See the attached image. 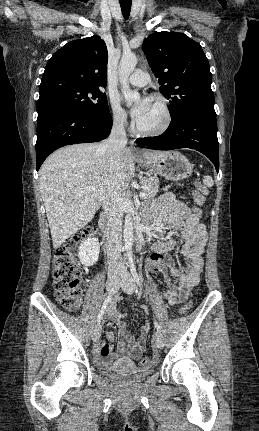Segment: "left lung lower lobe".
Segmentation results:
<instances>
[{"label": "left lung lower lobe", "instance_id": "1", "mask_svg": "<svg viewBox=\"0 0 259 431\" xmlns=\"http://www.w3.org/2000/svg\"><path fill=\"white\" fill-rule=\"evenodd\" d=\"M168 129L160 136L137 139L141 148L172 150L195 149L206 155L219 171L216 115L188 111L171 118Z\"/></svg>", "mask_w": 259, "mask_h": 431}]
</instances>
